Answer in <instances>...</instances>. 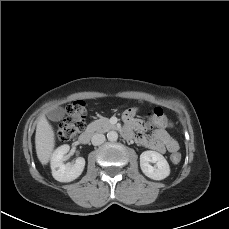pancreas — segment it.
<instances>
[{"instance_id":"pancreas-1","label":"pancreas","mask_w":229,"mask_h":229,"mask_svg":"<svg viewBox=\"0 0 229 229\" xmlns=\"http://www.w3.org/2000/svg\"><path fill=\"white\" fill-rule=\"evenodd\" d=\"M114 127L115 126L109 122L108 118L101 117L100 119L90 123L87 127V131L104 133L110 129H113Z\"/></svg>"}]
</instances>
